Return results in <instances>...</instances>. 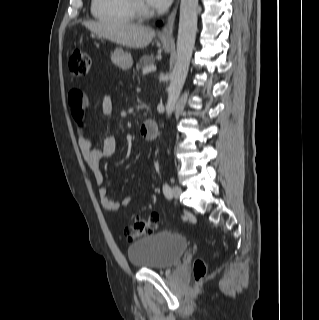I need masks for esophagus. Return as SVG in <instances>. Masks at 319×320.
I'll return each instance as SVG.
<instances>
[{"label": "esophagus", "mask_w": 319, "mask_h": 320, "mask_svg": "<svg viewBox=\"0 0 319 320\" xmlns=\"http://www.w3.org/2000/svg\"><path fill=\"white\" fill-rule=\"evenodd\" d=\"M178 2L174 6L172 12L170 13L166 23L164 24L162 30L159 33V36L167 41H174L173 39V26L177 14Z\"/></svg>", "instance_id": "1"}]
</instances>
